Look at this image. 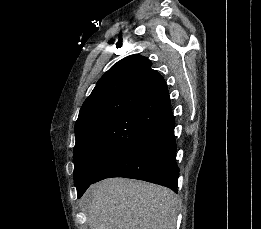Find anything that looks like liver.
<instances>
[{
  "mask_svg": "<svg viewBox=\"0 0 261 229\" xmlns=\"http://www.w3.org/2000/svg\"><path fill=\"white\" fill-rule=\"evenodd\" d=\"M85 201L89 229H175L180 205L170 189L132 179L95 183Z\"/></svg>",
  "mask_w": 261,
  "mask_h": 229,
  "instance_id": "obj_1",
  "label": "liver"
}]
</instances>
